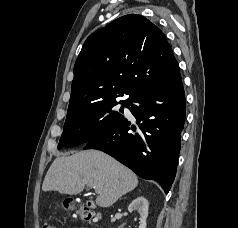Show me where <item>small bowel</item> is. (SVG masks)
Instances as JSON below:
<instances>
[{"mask_svg":"<svg viewBox=\"0 0 238 228\" xmlns=\"http://www.w3.org/2000/svg\"><path fill=\"white\" fill-rule=\"evenodd\" d=\"M75 228H84V227H75Z\"/></svg>","mask_w":238,"mask_h":228,"instance_id":"small-bowel-1","label":"small bowel"}]
</instances>
